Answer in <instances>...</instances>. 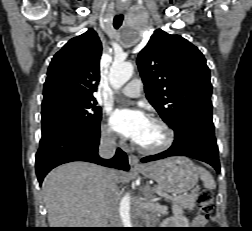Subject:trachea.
<instances>
[{"mask_svg":"<svg viewBox=\"0 0 252 231\" xmlns=\"http://www.w3.org/2000/svg\"><path fill=\"white\" fill-rule=\"evenodd\" d=\"M122 22H123V15H116L114 17V20H113V26L115 29H118L121 25H122Z\"/></svg>","mask_w":252,"mask_h":231,"instance_id":"obj_1","label":"trachea"}]
</instances>
